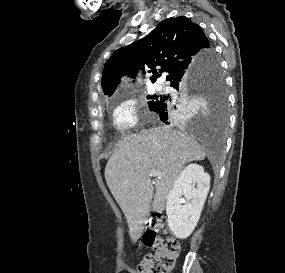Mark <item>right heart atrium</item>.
Instances as JSON below:
<instances>
[{
  "mask_svg": "<svg viewBox=\"0 0 285 273\" xmlns=\"http://www.w3.org/2000/svg\"><path fill=\"white\" fill-rule=\"evenodd\" d=\"M140 106L134 99L119 103L113 111V124L120 131H130L139 122Z\"/></svg>",
  "mask_w": 285,
  "mask_h": 273,
  "instance_id": "d8ad5b80",
  "label": "right heart atrium"
}]
</instances>
